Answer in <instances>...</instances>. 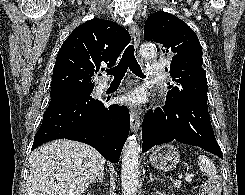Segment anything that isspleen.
<instances>
[{
    "instance_id": "spleen-1",
    "label": "spleen",
    "mask_w": 245,
    "mask_h": 195,
    "mask_svg": "<svg viewBox=\"0 0 245 195\" xmlns=\"http://www.w3.org/2000/svg\"><path fill=\"white\" fill-rule=\"evenodd\" d=\"M198 166L200 170L203 171L207 176L211 178L217 177L216 167L213 162L207 158V156L200 155L198 157Z\"/></svg>"
}]
</instances>
